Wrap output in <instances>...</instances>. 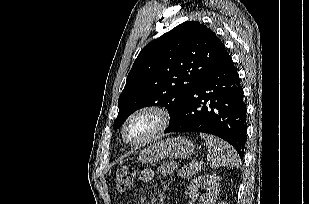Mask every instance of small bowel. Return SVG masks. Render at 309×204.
<instances>
[{
	"mask_svg": "<svg viewBox=\"0 0 309 204\" xmlns=\"http://www.w3.org/2000/svg\"><path fill=\"white\" fill-rule=\"evenodd\" d=\"M176 168V165L175 163L173 162H167V163H164L161 167V172L163 174H172L174 172ZM154 177V171L150 168H147L143 171L142 173V176H141V179L144 181V182H148L150 181L152 178Z\"/></svg>",
	"mask_w": 309,
	"mask_h": 204,
	"instance_id": "c3829d8e",
	"label": "small bowel"
}]
</instances>
